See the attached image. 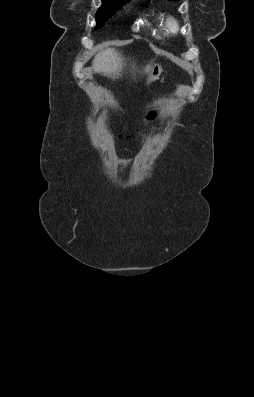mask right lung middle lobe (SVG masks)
<instances>
[{
  "label": "right lung middle lobe",
  "instance_id": "obj_1",
  "mask_svg": "<svg viewBox=\"0 0 254 397\" xmlns=\"http://www.w3.org/2000/svg\"><path fill=\"white\" fill-rule=\"evenodd\" d=\"M129 1L130 0H102V6L98 9L95 16L97 22L95 29L101 28L120 7Z\"/></svg>",
  "mask_w": 254,
  "mask_h": 397
}]
</instances>
